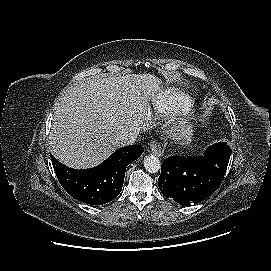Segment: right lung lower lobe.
I'll use <instances>...</instances> for the list:
<instances>
[{"label":"right lung lower lobe","instance_id":"right-lung-lower-lobe-1","mask_svg":"<svg viewBox=\"0 0 271 271\" xmlns=\"http://www.w3.org/2000/svg\"><path fill=\"white\" fill-rule=\"evenodd\" d=\"M143 151L140 145L125 147L115 151L100 165L83 170L68 168L52 155L51 160L56 176L68 194L90 205H102L118 196L126 167Z\"/></svg>","mask_w":271,"mask_h":271}]
</instances>
